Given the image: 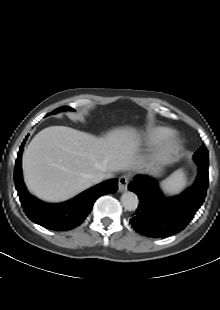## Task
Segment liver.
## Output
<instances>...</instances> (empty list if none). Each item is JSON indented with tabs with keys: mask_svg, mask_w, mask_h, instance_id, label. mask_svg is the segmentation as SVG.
<instances>
[{
	"mask_svg": "<svg viewBox=\"0 0 220 310\" xmlns=\"http://www.w3.org/2000/svg\"><path fill=\"white\" fill-rule=\"evenodd\" d=\"M138 134L117 128L97 138L66 126H51L32 139L23 156L24 179L37 197L67 200L93 185L89 176L129 170L135 164Z\"/></svg>",
	"mask_w": 220,
	"mask_h": 310,
	"instance_id": "6515ba94",
	"label": "liver"
}]
</instances>
